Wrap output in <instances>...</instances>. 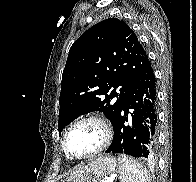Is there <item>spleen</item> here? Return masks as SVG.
Listing matches in <instances>:
<instances>
[{"label": "spleen", "mask_w": 196, "mask_h": 182, "mask_svg": "<svg viewBox=\"0 0 196 182\" xmlns=\"http://www.w3.org/2000/svg\"><path fill=\"white\" fill-rule=\"evenodd\" d=\"M118 161L121 182H150L146 169L132 157L122 154Z\"/></svg>", "instance_id": "3e777b00"}]
</instances>
